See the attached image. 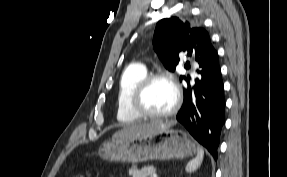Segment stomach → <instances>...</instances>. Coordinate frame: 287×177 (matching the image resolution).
I'll return each instance as SVG.
<instances>
[{
  "instance_id": "0dacf381",
  "label": "stomach",
  "mask_w": 287,
  "mask_h": 177,
  "mask_svg": "<svg viewBox=\"0 0 287 177\" xmlns=\"http://www.w3.org/2000/svg\"><path fill=\"white\" fill-rule=\"evenodd\" d=\"M195 153V144L188 134L172 128L147 136L112 138L99 148L102 159L127 163L183 159Z\"/></svg>"
}]
</instances>
